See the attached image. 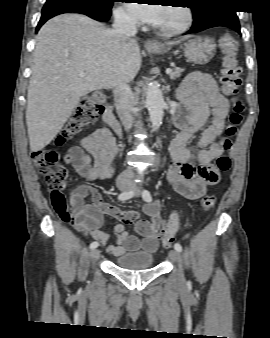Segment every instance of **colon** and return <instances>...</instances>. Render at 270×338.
<instances>
[{
    "label": "colon",
    "mask_w": 270,
    "mask_h": 338,
    "mask_svg": "<svg viewBox=\"0 0 270 338\" xmlns=\"http://www.w3.org/2000/svg\"><path fill=\"white\" fill-rule=\"evenodd\" d=\"M218 46L222 55L221 85L227 94L236 93L241 85V68L237 60L238 43L236 39L225 34L218 40ZM105 97L103 94L94 93L87 98L80 100L74 109L70 119L65 123L62 131L57 137V143L63 144L68 139L77 136L84 129L92 125L104 110ZM242 104L237 101L233 104L229 116V124L226 129V137L223 141L224 149L231 147V138L235 135L237 127L241 122ZM32 160L35 167L44 175L47 186L52 191L51 201L53 210L64 219L69 216L61 206L63 197L62 191L70 184L72 176L68 170L59 163V153L55 149H41L32 153ZM231 160L228 156L222 155L215 161V168L226 172L230 169ZM214 195H206L201 199V210L210 212L215 206ZM180 225L178 216L173 215L163 228L162 243L164 247H170L174 241L175 233Z\"/></svg>",
    "instance_id": "1"
}]
</instances>
